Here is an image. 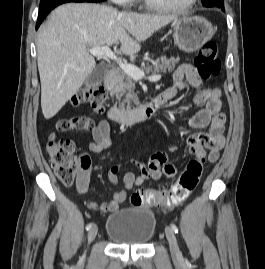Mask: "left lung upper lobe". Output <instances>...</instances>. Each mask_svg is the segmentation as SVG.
Listing matches in <instances>:
<instances>
[{
	"instance_id": "5c2ea615",
	"label": "left lung upper lobe",
	"mask_w": 265,
	"mask_h": 269,
	"mask_svg": "<svg viewBox=\"0 0 265 269\" xmlns=\"http://www.w3.org/2000/svg\"><path fill=\"white\" fill-rule=\"evenodd\" d=\"M206 7L224 8V0H202Z\"/></svg>"
}]
</instances>
